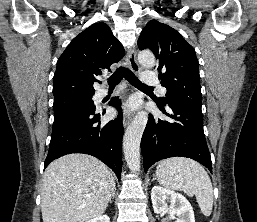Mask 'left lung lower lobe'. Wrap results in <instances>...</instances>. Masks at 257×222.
<instances>
[{
  "mask_svg": "<svg viewBox=\"0 0 257 222\" xmlns=\"http://www.w3.org/2000/svg\"><path fill=\"white\" fill-rule=\"evenodd\" d=\"M167 103L172 110L170 115L165 112V104H157L172 120L166 121L150 115L143 133L141 151L144 171L161 159L181 156L200 162L212 172L201 107L178 100H169Z\"/></svg>",
  "mask_w": 257,
  "mask_h": 222,
  "instance_id": "0a47b994",
  "label": "left lung lower lobe"
}]
</instances>
